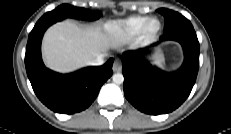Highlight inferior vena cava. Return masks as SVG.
<instances>
[{"label": "inferior vena cava", "instance_id": "1", "mask_svg": "<svg viewBox=\"0 0 231 134\" xmlns=\"http://www.w3.org/2000/svg\"><path fill=\"white\" fill-rule=\"evenodd\" d=\"M107 55L106 54H101L98 57L94 58L93 60H91L89 62V65H93V66H98V65H102L105 61V57Z\"/></svg>", "mask_w": 231, "mask_h": 134}]
</instances>
